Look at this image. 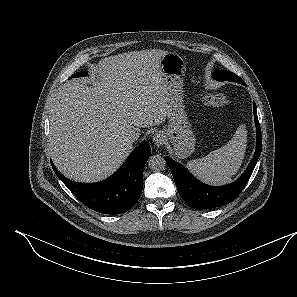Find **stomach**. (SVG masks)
<instances>
[{
  "mask_svg": "<svg viewBox=\"0 0 297 297\" xmlns=\"http://www.w3.org/2000/svg\"><path fill=\"white\" fill-rule=\"evenodd\" d=\"M185 70V59L175 52H168L160 62L169 109L168 125L164 127L162 133L173 145L175 156L178 159L191 155L196 145L184 106L183 76Z\"/></svg>",
  "mask_w": 297,
  "mask_h": 297,
  "instance_id": "obj_1",
  "label": "stomach"
}]
</instances>
